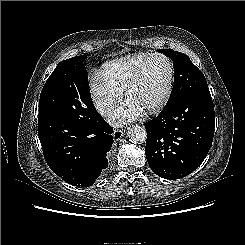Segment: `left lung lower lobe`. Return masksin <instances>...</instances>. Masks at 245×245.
Returning <instances> with one entry per match:
<instances>
[{
  "instance_id": "left-lung-lower-lobe-1",
  "label": "left lung lower lobe",
  "mask_w": 245,
  "mask_h": 245,
  "mask_svg": "<svg viewBox=\"0 0 245 245\" xmlns=\"http://www.w3.org/2000/svg\"><path fill=\"white\" fill-rule=\"evenodd\" d=\"M144 125L151 169L170 180L189 175L204 161L213 141L215 113L209 89L188 93Z\"/></svg>"
}]
</instances>
